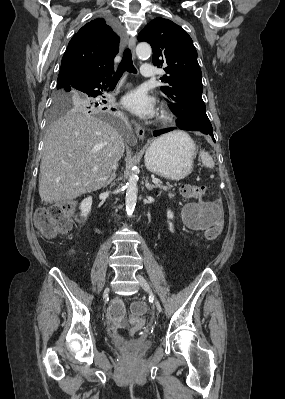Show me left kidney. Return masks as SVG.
I'll return each mask as SVG.
<instances>
[{
    "label": "left kidney",
    "instance_id": "1",
    "mask_svg": "<svg viewBox=\"0 0 285 399\" xmlns=\"http://www.w3.org/2000/svg\"><path fill=\"white\" fill-rule=\"evenodd\" d=\"M173 217H174L173 212H172L171 210H167V218H168V219H173ZM168 224H169V230H170L171 232H174L172 222L168 221Z\"/></svg>",
    "mask_w": 285,
    "mask_h": 399
}]
</instances>
